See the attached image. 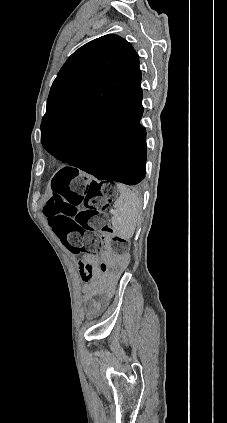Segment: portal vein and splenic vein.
Wrapping results in <instances>:
<instances>
[{
    "mask_svg": "<svg viewBox=\"0 0 227 423\" xmlns=\"http://www.w3.org/2000/svg\"><path fill=\"white\" fill-rule=\"evenodd\" d=\"M110 213H111V214H114V213H115V209H111V210H110Z\"/></svg>",
    "mask_w": 227,
    "mask_h": 423,
    "instance_id": "1",
    "label": "portal vein and splenic vein"
}]
</instances>
